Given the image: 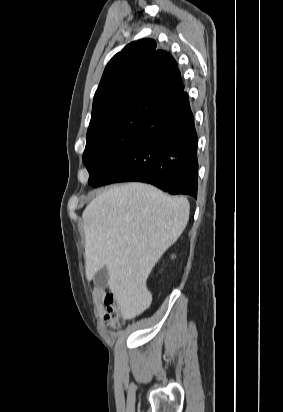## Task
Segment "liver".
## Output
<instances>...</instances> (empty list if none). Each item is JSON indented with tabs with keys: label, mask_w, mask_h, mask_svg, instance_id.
Instances as JSON below:
<instances>
[{
	"label": "liver",
	"mask_w": 283,
	"mask_h": 412,
	"mask_svg": "<svg viewBox=\"0 0 283 412\" xmlns=\"http://www.w3.org/2000/svg\"><path fill=\"white\" fill-rule=\"evenodd\" d=\"M186 197H170L152 185H117L85 208V271L88 280L107 267L108 286L124 319L149 307L147 278L163 253L183 233L189 220Z\"/></svg>",
	"instance_id": "1"
}]
</instances>
